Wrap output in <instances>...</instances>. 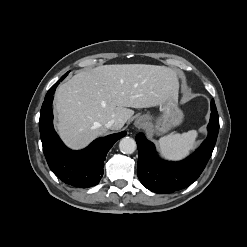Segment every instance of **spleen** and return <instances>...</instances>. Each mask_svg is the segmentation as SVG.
<instances>
[{
  "label": "spleen",
  "instance_id": "obj_1",
  "mask_svg": "<svg viewBox=\"0 0 247 247\" xmlns=\"http://www.w3.org/2000/svg\"><path fill=\"white\" fill-rule=\"evenodd\" d=\"M197 137L196 130L182 134L171 133L158 140L162 155L168 159L179 160L186 157L193 149Z\"/></svg>",
  "mask_w": 247,
  "mask_h": 247
}]
</instances>
